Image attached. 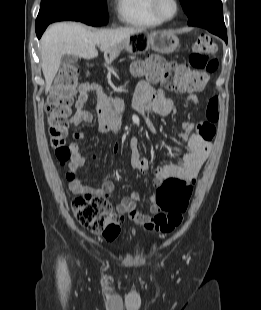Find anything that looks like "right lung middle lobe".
I'll list each match as a JSON object with an SVG mask.
<instances>
[{"label": "right lung middle lobe", "mask_w": 261, "mask_h": 310, "mask_svg": "<svg viewBox=\"0 0 261 310\" xmlns=\"http://www.w3.org/2000/svg\"><path fill=\"white\" fill-rule=\"evenodd\" d=\"M76 20L92 26L108 22L106 0H41L35 26L55 21Z\"/></svg>", "instance_id": "1"}]
</instances>
